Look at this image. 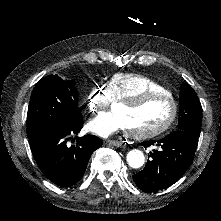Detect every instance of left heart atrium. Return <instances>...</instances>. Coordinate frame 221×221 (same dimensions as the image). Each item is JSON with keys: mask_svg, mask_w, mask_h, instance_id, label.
<instances>
[{"mask_svg": "<svg viewBox=\"0 0 221 221\" xmlns=\"http://www.w3.org/2000/svg\"><path fill=\"white\" fill-rule=\"evenodd\" d=\"M131 125V116L126 111H109L90 121L89 129L101 136H111L117 130H126Z\"/></svg>", "mask_w": 221, "mask_h": 221, "instance_id": "obj_1", "label": "left heart atrium"}]
</instances>
